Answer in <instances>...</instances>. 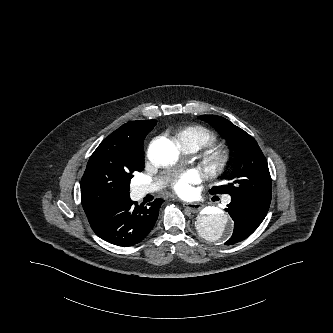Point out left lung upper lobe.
Listing matches in <instances>:
<instances>
[{"label": "left lung upper lobe", "mask_w": 333, "mask_h": 333, "mask_svg": "<svg viewBox=\"0 0 333 333\" xmlns=\"http://www.w3.org/2000/svg\"><path fill=\"white\" fill-rule=\"evenodd\" d=\"M200 119L212 124L227 139L238 155L231 174L224 176L227 184L214 186L211 194H229L231 198L270 205L271 176L267 160L256 140L227 119L217 115H201Z\"/></svg>", "instance_id": "obj_1"}]
</instances>
